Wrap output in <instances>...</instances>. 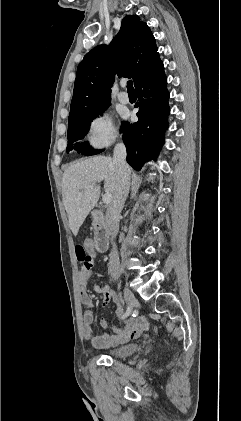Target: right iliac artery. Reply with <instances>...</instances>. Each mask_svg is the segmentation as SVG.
Here are the masks:
<instances>
[{
	"label": "right iliac artery",
	"mask_w": 241,
	"mask_h": 421,
	"mask_svg": "<svg viewBox=\"0 0 241 421\" xmlns=\"http://www.w3.org/2000/svg\"><path fill=\"white\" fill-rule=\"evenodd\" d=\"M131 313V309L129 307H127V310L125 312V314L122 316V318H126L127 316H129Z\"/></svg>",
	"instance_id": "obj_1"
}]
</instances>
